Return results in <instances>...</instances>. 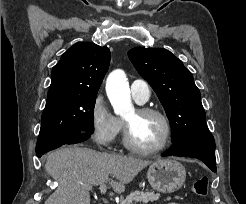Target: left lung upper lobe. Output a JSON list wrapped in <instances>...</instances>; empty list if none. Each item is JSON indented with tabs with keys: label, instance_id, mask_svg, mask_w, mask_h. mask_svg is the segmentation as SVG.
Returning a JSON list of instances; mask_svg holds the SVG:
<instances>
[{
	"label": "left lung upper lobe",
	"instance_id": "5c2ea615",
	"mask_svg": "<svg viewBox=\"0 0 246 204\" xmlns=\"http://www.w3.org/2000/svg\"><path fill=\"white\" fill-rule=\"evenodd\" d=\"M128 56L162 103L173 130V143L208 130L200 91L180 59L162 48L136 47Z\"/></svg>",
	"mask_w": 246,
	"mask_h": 204
}]
</instances>
